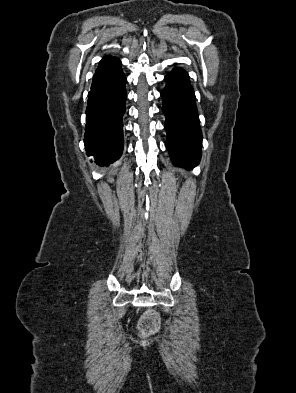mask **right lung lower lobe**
Listing matches in <instances>:
<instances>
[{
  "label": "right lung lower lobe",
  "instance_id": "98d812e1",
  "mask_svg": "<svg viewBox=\"0 0 296 393\" xmlns=\"http://www.w3.org/2000/svg\"><path fill=\"white\" fill-rule=\"evenodd\" d=\"M125 84L120 60L105 56L93 76L88 94L84 138L87 155L93 156L99 166L115 162L123 151Z\"/></svg>",
  "mask_w": 296,
  "mask_h": 393
}]
</instances>
